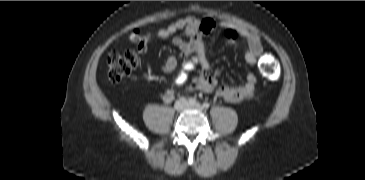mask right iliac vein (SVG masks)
I'll use <instances>...</instances> for the list:
<instances>
[{
  "label": "right iliac vein",
  "mask_w": 365,
  "mask_h": 180,
  "mask_svg": "<svg viewBox=\"0 0 365 180\" xmlns=\"http://www.w3.org/2000/svg\"><path fill=\"white\" fill-rule=\"evenodd\" d=\"M187 106V102L185 99H179L175 102L174 104V109L178 112L182 111L183 109H185Z\"/></svg>",
  "instance_id": "right-iliac-vein-1"
}]
</instances>
